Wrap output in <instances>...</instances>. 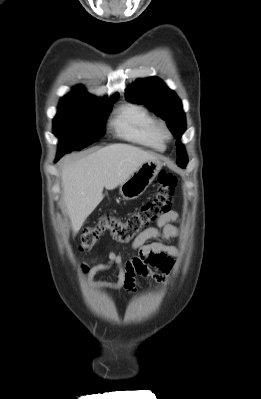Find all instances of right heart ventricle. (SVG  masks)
I'll list each match as a JSON object with an SVG mask.
<instances>
[{
    "instance_id": "e07e8e85",
    "label": "right heart ventricle",
    "mask_w": 261,
    "mask_h": 399,
    "mask_svg": "<svg viewBox=\"0 0 261 399\" xmlns=\"http://www.w3.org/2000/svg\"><path fill=\"white\" fill-rule=\"evenodd\" d=\"M112 126L115 134L124 140L154 150H164L157 119L141 105L122 106L114 116Z\"/></svg>"
}]
</instances>
